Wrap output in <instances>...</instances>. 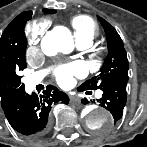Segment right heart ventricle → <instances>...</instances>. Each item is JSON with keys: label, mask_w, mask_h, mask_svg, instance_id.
<instances>
[{"label": "right heart ventricle", "mask_w": 147, "mask_h": 147, "mask_svg": "<svg viewBox=\"0 0 147 147\" xmlns=\"http://www.w3.org/2000/svg\"><path fill=\"white\" fill-rule=\"evenodd\" d=\"M71 24L77 43H85L89 46L98 35V26L89 16H76L72 19Z\"/></svg>", "instance_id": "right-heart-ventricle-1"}]
</instances>
